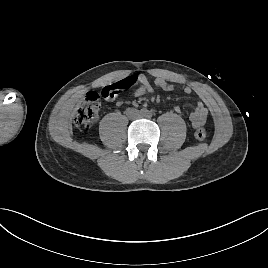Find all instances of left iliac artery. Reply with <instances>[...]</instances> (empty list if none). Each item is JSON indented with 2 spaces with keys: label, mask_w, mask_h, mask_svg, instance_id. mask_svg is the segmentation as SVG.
<instances>
[{
  "label": "left iliac artery",
  "mask_w": 268,
  "mask_h": 268,
  "mask_svg": "<svg viewBox=\"0 0 268 268\" xmlns=\"http://www.w3.org/2000/svg\"><path fill=\"white\" fill-rule=\"evenodd\" d=\"M153 116V113L151 112V111H148V113H147V117L148 118H151Z\"/></svg>",
  "instance_id": "left-iliac-artery-1"
}]
</instances>
